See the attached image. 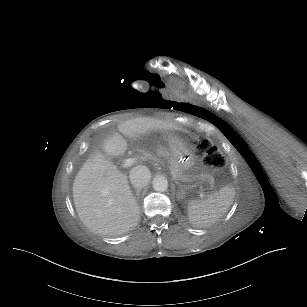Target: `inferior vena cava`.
I'll return each mask as SVG.
<instances>
[{"instance_id":"1","label":"inferior vena cava","mask_w":307,"mask_h":307,"mask_svg":"<svg viewBox=\"0 0 307 307\" xmlns=\"http://www.w3.org/2000/svg\"><path fill=\"white\" fill-rule=\"evenodd\" d=\"M131 184L138 188L142 189L149 183L151 179L150 170L143 165H138L133 167L129 174Z\"/></svg>"}]
</instances>
